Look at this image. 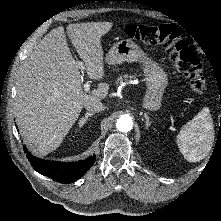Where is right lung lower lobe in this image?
I'll return each mask as SVG.
<instances>
[{
  "mask_svg": "<svg viewBox=\"0 0 221 221\" xmlns=\"http://www.w3.org/2000/svg\"><path fill=\"white\" fill-rule=\"evenodd\" d=\"M24 152L32 167L42 175L60 183H72L83 176L95 162V155L76 163L47 161L36 158L24 146Z\"/></svg>",
  "mask_w": 221,
  "mask_h": 221,
  "instance_id": "obj_1",
  "label": "right lung lower lobe"
}]
</instances>
